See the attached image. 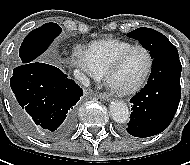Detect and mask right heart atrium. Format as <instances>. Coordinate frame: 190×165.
<instances>
[{"mask_svg":"<svg viewBox=\"0 0 190 165\" xmlns=\"http://www.w3.org/2000/svg\"><path fill=\"white\" fill-rule=\"evenodd\" d=\"M72 63L86 78L99 80L102 76L94 67L87 50L82 47L73 50Z\"/></svg>","mask_w":190,"mask_h":165,"instance_id":"d8ad5b80","label":"right heart atrium"}]
</instances>
